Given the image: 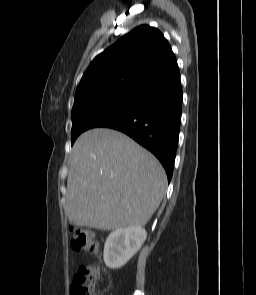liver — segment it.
I'll return each instance as SVG.
<instances>
[{
  "mask_svg": "<svg viewBox=\"0 0 256 295\" xmlns=\"http://www.w3.org/2000/svg\"><path fill=\"white\" fill-rule=\"evenodd\" d=\"M166 186L165 170L154 155L121 132L92 129L73 146L65 213L79 227L144 226Z\"/></svg>",
  "mask_w": 256,
  "mask_h": 295,
  "instance_id": "liver-1",
  "label": "liver"
}]
</instances>
